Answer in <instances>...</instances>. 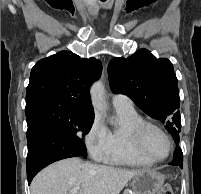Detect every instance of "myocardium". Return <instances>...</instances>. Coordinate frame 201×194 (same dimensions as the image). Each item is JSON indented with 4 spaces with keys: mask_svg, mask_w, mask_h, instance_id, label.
Wrapping results in <instances>:
<instances>
[{
    "mask_svg": "<svg viewBox=\"0 0 201 194\" xmlns=\"http://www.w3.org/2000/svg\"><path fill=\"white\" fill-rule=\"evenodd\" d=\"M149 128H153L156 129L157 131H159L166 139L167 143H168V151L166 153L165 156H163L162 158H153L151 157L145 150L144 148V144H143V140H144V135L145 132L147 131V129ZM134 143L136 146V149L138 150V152L148 161L152 162V163H159L162 162L164 160H166L172 150H173V142L172 139L170 137V135L167 133V131L162 128L160 125L151 122V121H145L143 120L140 124L137 125V127L135 128L134 131Z\"/></svg>",
    "mask_w": 201,
    "mask_h": 194,
    "instance_id": "myocardium-1",
    "label": "myocardium"
}]
</instances>
